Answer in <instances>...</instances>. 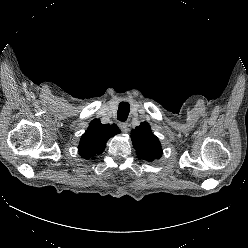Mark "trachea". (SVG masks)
Wrapping results in <instances>:
<instances>
[{"label": "trachea", "mask_w": 248, "mask_h": 248, "mask_svg": "<svg viewBox=\"0 0 248 248\" xmlns=\"http://www.w3.org/2000/svg\"><path fill=\"white\" fill-rule=\"evenodd\" d=\"M130 111V105L127 102H121L119 104L118 112H117V118L119 121H126L127 117L129 115Z\"/></svg>", "instance_id": "3493384b"}]
</instances>
